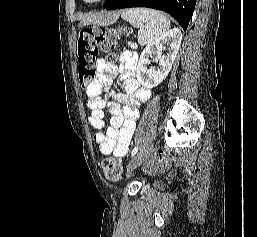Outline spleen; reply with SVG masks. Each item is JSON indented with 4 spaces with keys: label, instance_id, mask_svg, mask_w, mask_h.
Returning <instances> with one entry per match:
<instances>
[{
    "label": "spleen",
    "instance_id": "3e777b00",
    "mask_svg": "<svg viewBox=\"0 0 257 237\" xmlns=\"http://www.w3.org/2000/svg\"><path fill=\"white\" fill-rule=\"evenodd\" d=\"M121 17L139 28L138 43L142 46L149 45L170 29V21L162 13L152 9H126Z\"/></svg>",
    "mask_w": 257,
    "mask_h": 237
}]
</instances>
